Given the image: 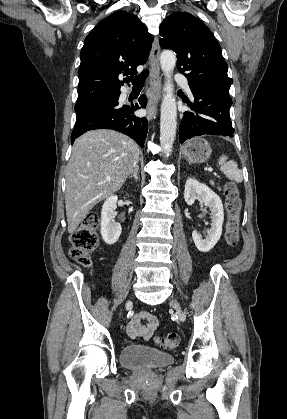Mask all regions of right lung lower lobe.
<instances>
[{
  "instance_id": "right-lung-lower-lobe-1",
  "label": "right lung lower lobe",
  "mask_w": 287,
  "mask_h": 419,
  "mask_svg": "<svg viewBox=\"0 0 287 419\" xmlns=\"http://www.w3.org/2000/svg\"><path fill=\"white\" fill-rule=\"evenodd\" d=\"M139 104L145 108V95L139 98ZM138 104L126 106L117 101L94 109L76 118L71 134V143L83 133L93 129H112L122 132L134 139L142 148L147 135V119L136 117L133 112L140 108Z\"/></svg>"
}]
</instances>
